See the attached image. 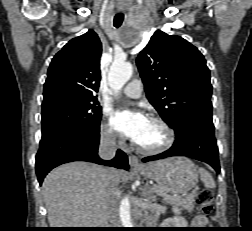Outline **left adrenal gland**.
<instances>
[{
  "label": "left adrenal gland",
  "mask_w": 252,
  "mask_h": 231,
  "mask_svg": "<svg viewBox=\"0 0 252 231\" xmlns=\"http://www.w3.org/2000/svg\"><path fill=\"white\" fill-rule=\"evenodd\" d=\"M144 194L149 195V197H152V191L150 190L148 184H146V186H145Z\"/></svg>",
  "instance_id": "left-adrenal-gland-1"
}]
</instances>
